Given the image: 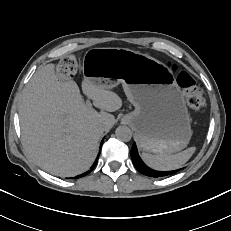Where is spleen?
<instances>
[{"mask_svg":"<svg viewBox=\"0 0 231 231\" xmlns=\"http://www.w3.org/2000/svg\"><path fill=\"white\" fill-rule=\"evenodd\" d=\"M195 152V147H190L177 154H150L142 153L144 162L152 169L169 171L180 168Z\"/></svg>","mask_w":231,"mask_h":231,"instance_id":"obj_1","label":"spleen"}]
</instances>
